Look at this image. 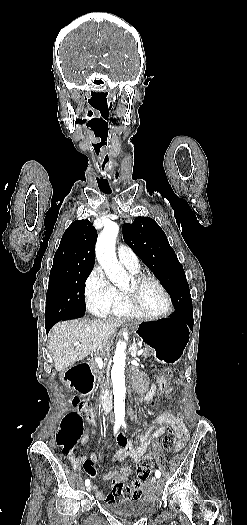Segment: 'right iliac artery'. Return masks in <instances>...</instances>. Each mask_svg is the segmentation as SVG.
I'll list each match as a JSON object with an SVG mask.
<instances>
[{
    "mask_svg": "<svg viewBox=\"0 0 247 525\" xmlns=\"http://www.w3.org/2000/svg\"><path fill=\"white\" fill-rule=\"evenodd\" d=\"M119 427H120V424H115V426H114V433H116L118 431ZM85 485L86 486L90 485V480L89 479L85 480Z\"/></svg>",
    "mask_w": 247,
    "mask_h": 525,
    "instance_id": "obj_1",
    "label": "right iliac artery"
}]
</instances>
